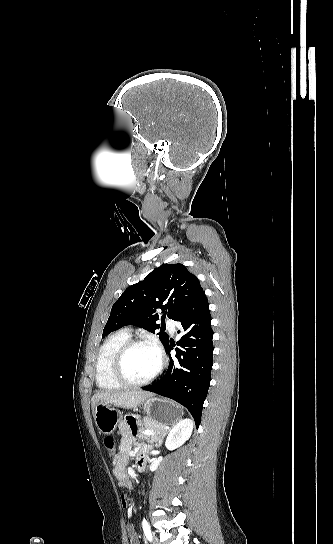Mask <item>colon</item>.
Masks as SVG:
<instances>
[{"label": "colon", "mask_w": 333, "mask_h": 544, "mask_svg": "<svg viewBox=\"0 0 333 544\" xmlns=\"http://www.w3.org/2000/svg\"><path fill=\"white\" fill-rule=\"evenodd\" d=\"M104 446L106 448V450L108 451V453L110 455H114L115 454V441L114 439L111 437V436H106L104 438Z\"/></svg>", "instance_id": "1"}]
</instances>
